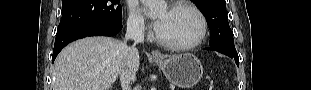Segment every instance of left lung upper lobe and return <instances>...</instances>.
Here are the masks:
<instances>
[{
    "instance_id": "obj_1",
    "label": "left lung upper lobe",
    "mask_w": 311,
    "mask_h": 90,
    "mask_svg": "<svg viewBox=\"0 0 311 90\" xmlns=\"http://www.w3.org/2000/svg\"><path fill=\"white\" fill-rule=\"evenodd\" d=\"M193 2L208 21L211 31L210 46L236 52L225 0H194Z\"/></svg>"
}]
</instances>
